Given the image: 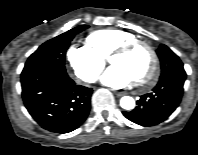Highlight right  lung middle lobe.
<instances>
[{
    "mask_svg": "<svg viewBox=\"0 0 198 155\" xmlns=\"http://www.w3.org/2000/svg\"><path fill=\"white\" fill-rule=\"evenodd\" d=\"M86 28L87 25H81L45 42L28 58L25 66L46 65L65 71L66 50L74 36Z\"/></svg>",
    "mask_w": 198,
    "mask_h": 155,
    "instance_id": "dd1d6c3e",
    "label": "right lung middle lobe"
}]
</instances>
